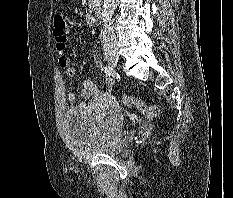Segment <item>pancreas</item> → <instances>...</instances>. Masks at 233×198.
I'll use <instances>...</instances> for the list:
<instances>
[{
    "label": "pancreas",
    "instance_id": "cf45deb5",
    "mask_svg": "<svg viewBox=\"0 0 233 198\" xmlns=\"http://www.w3.org/2000/svg\"><path fill=\"white\" fill-rule=\"evenodd\" d=\"M101 5V0H88L89 7H98Z\"/></svg>",
    "mask_w": 233,
    "mask_h": 198
}]
</instances>
